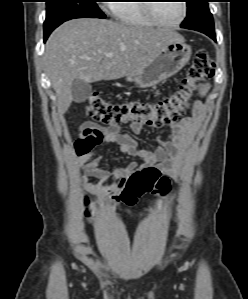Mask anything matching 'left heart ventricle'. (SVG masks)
I'll return each mask as SVG.
<instances>
[{
  "label": "left heart ventricle",
  "mask_w": 248,
  "mask_h": 299,
  "mask_svg": "<svg viewBox=\"0 0 248 299\" xmlns=\"http://www.w3.org/2000/svg\"><path fill=\"white\" fill-rule=\"evenodd\" d=\"M155 12L162 21L166 23H175L182 15L181 1H163L157 3Z\"/></svg>",
  "instance_id": "b2bd125f"
}]
</instances>
